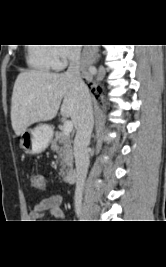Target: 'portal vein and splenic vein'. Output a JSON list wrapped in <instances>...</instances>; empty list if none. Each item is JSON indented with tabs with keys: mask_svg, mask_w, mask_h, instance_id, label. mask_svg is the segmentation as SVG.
<instances>
[{
	"mask_svg": "<svg viewBox=\"0 0 166 267\" xmlns=\"http://www.w3.org/2000/svg\"><path fill=\"white\" fill-rule=\"evenodd\" d=\"M73 130V123L70 120H65L63 123V132L66 135H69Z\"/></svg>",
	"mask_w": 166,
	"mask_h": 267,
	"instance_id": "obj_1",
	"label": "portal vein and splenic vein"
}]
</instances>
